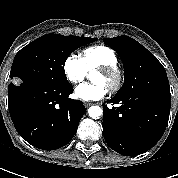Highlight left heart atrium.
<instances>
[{"mask_svg": "<svg viewBox=\"0 0 178 178\" xmlns=\"http://www.w3.org/2000/svg\"><path fill=\"white\" fill-rule=\"evenodd\" d=\"M108 90L103 83H83L75 88V96L83 101H96L104 98Z\"/></svg>", "mask_w": 178, "mask_h": 178, "instance_id": "39dd6f15", "label": "left heart atrium"}]
</instances>
